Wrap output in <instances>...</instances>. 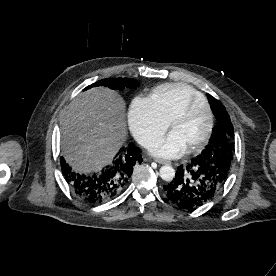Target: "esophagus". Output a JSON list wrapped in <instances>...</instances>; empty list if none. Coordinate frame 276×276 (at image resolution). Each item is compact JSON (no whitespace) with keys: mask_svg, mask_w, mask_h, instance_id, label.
<instances>
[{"mask_svg":"<svg viewBox=\"0 0 276 276\" xmlns=\"http://www.w3.org/2000/svg\"><path fill=\"white\" fill-rule=\"evenodd\" d=\"M154 161L159 164H170V161L161 158H154Z\"/></svg>","mask_w":276,"mask_h":276,"instance_id":"obj_1","label":"esophagus"}]
</instances>
